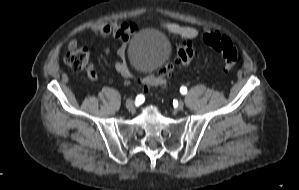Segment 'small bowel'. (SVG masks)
Here are the masks:
<instances>
[{
    "mask_svg": "<svg viewBox=\"0 0 299 190\" xmlns=\"http://www.w3.org/2000/svg\"><path fill=\"white\" fill-rule=\"evenodd\" d=\"M163 27L174 33L179 35L185 39H193L198 36V30L193 26H185L180 25L176 22H164ZM135 23H119L117 21H111L108 23L100 24L96 27L95 33L98 37L102 39H108L110 37L116 38L121 42L120 47L118 48V56L119 60H117L114 64L115 70L119 75L125 78H129L132 76L131 68L126 59V51H127V42L131 38L134 30H135ZM77 45L76 42L71 41L69 43V47ZM106 53L110 52V49L106 47ZM87 75L90 80L95 81L97 79L96 71L93 65H89L87 68Z\"/></svg>",
    "mask_w": 299,
    "mask_h": 190,
    "instance_id": "c3829d8e",
    "label": "small bowel"
}]
</instances>
